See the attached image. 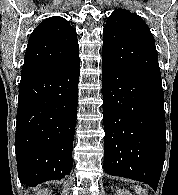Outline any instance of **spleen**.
I'll use <instances>...</instances> for the list:
<instances>
[{
	"label": "spleen",
	"mask_w": 178,
	"mask_h": 195,
	"mask_svg": "<svg viewBox=\"0 0 178 195\" xmlns=\"http://www.w3.org/2000/svg\"><path fill=\"white\" fill-rule=\"evenodd\" d=\"M134 190L138 195H148L146 190L143 189L141 186H134Z\"/></svg>",
	"instance_id": "spleen-1"
}]
</instances>
